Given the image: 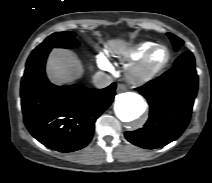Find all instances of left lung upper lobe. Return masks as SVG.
Segmentation results:
<instances>
[{
	"instance_id": "5c2ea615",
	"label": "left lung upper lobe",
	"mask_w": 212,
	"mask_h": 183,
	"mask_svg": "<svg viewBox=\"0 0 212 183\" xmlns=\"http://www.w3.org/2000/svg\"><path fill=\"white\" fill-rule=\"evenodd\" d=\"M168 36L170 37L174 50L177 51L181 45L183 44V40H181L179 37L175 36L174 34L168 33Z\"/></svg>"
}]
</instances>
